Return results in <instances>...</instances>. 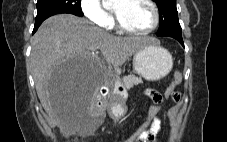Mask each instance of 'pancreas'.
<instances>
[{
  "instance_id": "1",
  "label": "pancreas",
  "mask_w": 227,
  "mask_h": 142,
  "mask_svg": "<svg viewBox=\"0 0 227 142\" xmlns=\"http://www.w3.org/2000/svg\"><path fill=\"white\" fill-rule=\"evenodd\" d=\"M120 81L122 82L124 87L127 88V89L132 88L134 85H138V84L143 83L142 78L137 77L134 74L124 76L122 79H120Z\"/></svg>"
}]
</instances>
